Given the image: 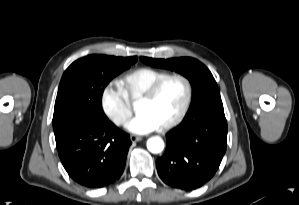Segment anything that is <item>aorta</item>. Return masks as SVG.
<instances>
[{
	"label": "aorta",
	"instance_id": "aorta-1",
	"mask_svg": "<svg viewBox=\"0 0 299 205\" xmlns=\"http://www.w3.org/2000/svg\"><path fill=\"white\" fill-rule=\"evenodd\" d=\"M147 148L151 153L157 154L163 151L164 142L162 138L155 136L151 137L147 141Z\"/></svg>",
	"mask_w": 299,
	"mask_h": 205
}]
</instances>
